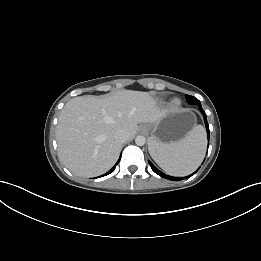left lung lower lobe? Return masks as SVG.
I'll list each match as a JSON object with an SVG mask.
<instances>
[{"label":"left lung lower lobe","mask_w":261,"mask_h":261,"mask_svg":"<svg viewBox=\"0 0 261 261\" xmlns=\"http://www.w3.org/2000/svg\"><path fill=\"white\" fill-rule=\"evenodd\" d=\"M199 109L201 110V112H202V114H203V116H204V121H205V125H206L207 136H208V140H209V125H208V122H207L206 114H205V112H204V110L202 109L201 106H199ZM149 164H150L152 170H153L156 174L160 175V176L163 177V178H166V179H169V180H173V181H180V180H182V179L189 178V177H191L194 173H196V172H194L193 174H191V175H189V176H187V177H172V176L166 175V174L162 173L161 171H159L151 162H149Z\"/></svg>","instance_id":"left-lung-lower-lobe-1"}]
</instances>
